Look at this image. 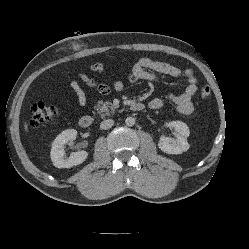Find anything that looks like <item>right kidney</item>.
<instances>
[{
	"instance_id": "1",
	"label": "right kidney",
	"mask_w": 249,
	"mask_h": 249,
	"mask_svg": "<svg viewBox=\"0 0 249 249\" xmlns=\"http://www.w3.org/2000/svg\"><path fill=\"white\" fill-rule=\"evenodd\" d=\"M77 131L74 129H67L60 133L52 143L51 148V160L53 165L57 168H71L83 163L88 153L86 151H77L70 154L68 158L65 157L64 145L68 141L76 139Z\"/></svg>"
}]
</instances>
